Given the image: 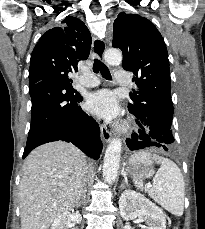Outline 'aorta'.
Listing matches in <instances>:
<instances>
[{
	"mask_svg": "<svg viewBox=\"0 0 205 229\" xmlns=\"http://www.w3.org/2000/svg\"><path fill=\"white\" fill-rule=\"evenodd\" d=\"M105 61L110 65L120 64L122 53L118 49H108L104 54ZM122 143L119 138H113L107 146L104 163L103 178L108 184L115 182L119 170Z\"/></svg>",
	"mask_w": 205,
	"mask_h": 229,
	"instance_id": "1",
	"label": "aorta"
}]
</instances>
